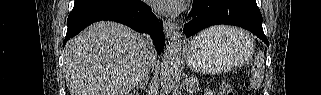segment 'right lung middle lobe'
<instances>
[{
    "label": "right lung middle lobe",
    "mask_w": 321,
    "mask_h": 95,
    "mask_svg": "<svg viewBox=\"0 0 321 95\" xmlns=\"http://www.w3.org/2000/svg\"><path fill=\"white\" fill-rule=\"evenodd\" d=\"M109 2H132V0H75L74 7L102 4Z\"/></svg>",
    "instance_id": "right-lung-middle-lobe-1"
}]
</instances>
